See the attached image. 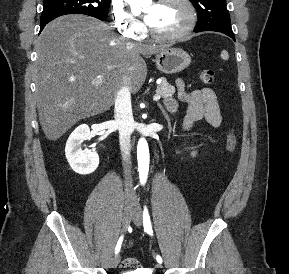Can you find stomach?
<instances>
[{
	"label": "stomach",
	"mask_w": 289,
	"mask_h": 274,
	"mask_svg": "<svg viewBox=\"0 0 289 274\" xmlns=\"http://www.w3.org/2000/svg\"><path fill=\"white\" fill-rule=\"evenodd\" d=\"M156 67L165 74H174L186 69L191 57L183 49L165 48L156 55Z\"/></svg>",
	"instance_id": "obj_1"
}]
</instances>
